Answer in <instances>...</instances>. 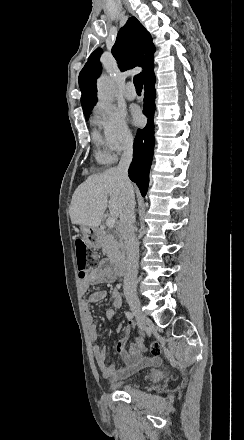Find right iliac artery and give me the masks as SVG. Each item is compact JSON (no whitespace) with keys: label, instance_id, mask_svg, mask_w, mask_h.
<instances>
[{"label":"right iliac artery","instance_id":"right-iliac-artery-1","mask_svg":"<svg viewBox=\"0 0 244 440\" xmlns=\"http://www.w3.org/2000/svg\"><path fill=\"white\" fill-rule=\"evenodd\" d=\"M126 317L128 318V319H134V317H135V314L133 313V312H131V311H127L126 312Z\"/></svg>","mask_w":244,"mask_h":440}]
</instances>
